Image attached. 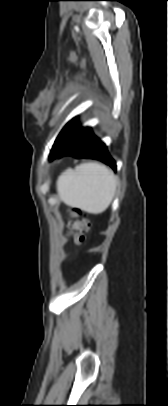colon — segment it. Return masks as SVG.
Instances as JSON below:
<instances>
[{"label":"colon","instance_id":"obj_1","mask_svg":"<svg viewBox=\"0 0 168 406\" xmlns=\"http://www.w3.org/2000/svg\"><path fill=\"white\" fill-rule=\"evenodd\" d=\"M74 216H78V213L74 212ZM72 233L76 242H82L84 240V234L89 230V222L84 218H78L71 224Z\"/></svg>","mask_w":168,"mask_h":406}]
</instances>
